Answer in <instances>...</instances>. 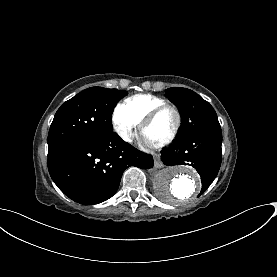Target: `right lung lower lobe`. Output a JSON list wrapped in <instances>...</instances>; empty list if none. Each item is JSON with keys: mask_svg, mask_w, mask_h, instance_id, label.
Instances as JSON below:
<instances>
[{"mask_svg": "<svg viewBox=\"0 0 277 277\" xmlns=\"http://www.w3.org/2000/svg\"><path fill=\"white\" fill-rule=\"evenodd\" d=\"M153 158L116 133L48 147V170L58 188L80 204H97L117 191L129 166L153 167Z\"/></svg>", "mask_w": 277, "mask_h": 277, "instance_id": "right-lung-lower-lobe-1", "label": "right lung lower lobe"}]
</instances>
